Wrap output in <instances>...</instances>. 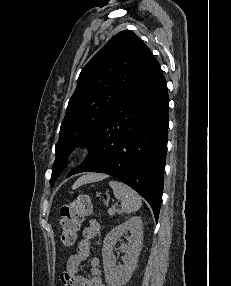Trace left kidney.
I'll return each instance as SVG.
<instances>
[{
    "instance_id": "5707ae66",
    "label": "left kidney",
    "mask_w": 231,
    "mask_h": 286,
    "mask_svg": "<svg viewBox=\"0 0 231 286\" xmlns=\"http://www.w3.org/2000/svg\"><path fill=\"white\" fill-rule=\"evenodd\" d=\"M141 217H131L124 223L112 229L104 238L102 248L103 267L105 272V281L108 286L125 285L131 278L132 273L137 268L138 256L143 244ZM130 232L129 243L122 244L120 249L125 256L124 265H116L114 261V247L117 240L126 232Z\"/></svg>"
}]
</instances>
